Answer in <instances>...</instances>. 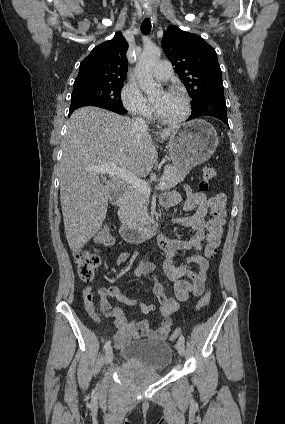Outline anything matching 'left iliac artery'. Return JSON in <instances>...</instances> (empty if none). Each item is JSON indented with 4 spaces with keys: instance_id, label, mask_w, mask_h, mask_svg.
I'll list each match as a JSON object with an SVG mask.
<instances>
[{
    "instance_id": "obj_1",
    "label": "left iliac artery",
    "mask_w": 285,
    "mask_h": 424,
    "mask_svg": "<svg viewBox=\"0 0 285 424\" xmlns=\"http://www.w3.org/2000/svg\"><path fill=\"white\" fill-rule=\"evenodd\" d=\"M179 340L184 343L185 342L184 336L183 335H180Z\"/></svg>"
}]
</instances>
